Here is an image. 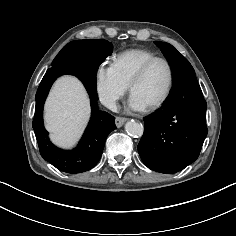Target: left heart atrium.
<instances>
[{
    "label": "left heart atrium",
    "mask_w": 236,
    "mask_h": 236,
    "mask_svg": "<svg viewBox=\"0 0 236 236\" xmlns=\"http://www.w3.org/2000/svg\"><path fill=\"white\" fill-rule=\"evenodd\" d=\"M129 107L134 111H141L146 108L145 104L134 95H131L130 97Z\"/></svg>",
    "instance_id": "obj_1"
}]
</instances>
